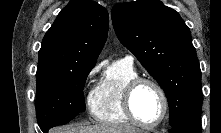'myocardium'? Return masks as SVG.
<instances>
[{"label": "myocardium", "instance_id": "1", "mask_svg": "<svg viewBox=\"0 0 221 133\" xmlns=\"http://www.w3.org/2000/svg\"><path fill=\"white\" fill-rule=\"evenodd\" d=\"M143 84H149L153 86L161 97L162 113L159 119L153 123H146L141 121L134 112L133 97L137 89ZM123 106L126 115L130 118L132 122L144 128H154L160 125L165 120L169 109V102L164 88L156 80L151 78L138 77L130 81L125 87L123 96Z\"/></svg>", "mask_w": 221, "mask_h": 133}]
</instances>
